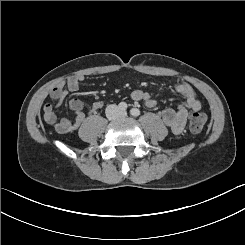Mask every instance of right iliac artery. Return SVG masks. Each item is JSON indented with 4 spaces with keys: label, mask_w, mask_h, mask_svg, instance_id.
I'll use <instances>...</instances> for the list:
<instances>
[{
    "label": "right iliac artery",
    "mask_w": 245,
    "mask_h": 245,
    "mask_svg": "<svg viewBox=\"0 0 245 245\" xmlns=\"http://www.w3.org/2000/svg\"><path fill=\"white\" fill-rule=\"evenodd\" d=\"M119 109L121 110V111H125L126 109H127V104L125 103V102H121V103H119Z\"/></svg>",
    "instance_id": "82829eb1"
}]
</instances>
